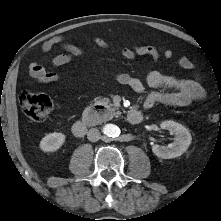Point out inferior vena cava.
I'll return each instance as SVG.
<instances>
[{"label":"inferior vena cava","instance_id":"obj_1","mask_svg":"<svg viewBox=\"0 0 221 221\" xmlns=\"http://www.w3.org/2000/svg\"><path fill=\"white\" fill-rule=\"evenodd\" d=\"M87 138L91 142H96L101 138L100 131L97 128H91L87 133Z\"/></svg>","mask_w":221,"mask_h":221}]
</instances>
